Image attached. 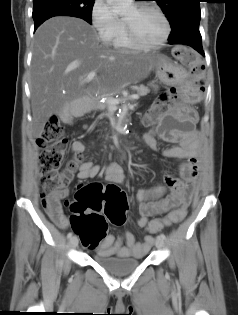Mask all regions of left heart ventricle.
<instances>
[{
  "label": "left heart ventricle",
  "mask_w": 238,
  "mask_h": 315,
  "mask_svg": "<svg viewBox=\"0 0 238 315\" xmlns=\"http://www.w3.org/2000/svg\"><path fill=\"white\" fill-rule=\"evenodd\" d=\"M124 19L131 22L135 35L144 43H156L162 39L165 33L162 19L153 11L137 12L135 6H132Z\"/></svg>",
  "instance_id": "b2bd125f"
}]
</instances>
